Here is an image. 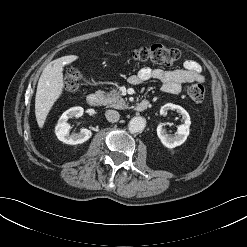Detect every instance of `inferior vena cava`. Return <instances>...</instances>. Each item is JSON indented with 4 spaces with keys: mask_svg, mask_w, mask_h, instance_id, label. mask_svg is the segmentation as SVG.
I'll use <instances>...</instances> for the list:
<instances>
[{
    "mask_svg": "<svg viewBox=\"0 0 247 247\" xmlns=\"http://www.w3.org/2000/svg\"><path fill=\"white\" fill-rule=\"evenodd\" d=\"M105 116H106V119L112 123L117 122L120 118V114L116 110H107L105 112Z\"/></svg>",
    "mask_w": 247,
    "mask_h": 247,
    "instance_id": "1",
    "label": "inferior vena cava"
}]
</instances>
